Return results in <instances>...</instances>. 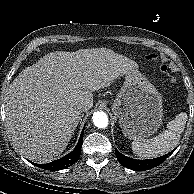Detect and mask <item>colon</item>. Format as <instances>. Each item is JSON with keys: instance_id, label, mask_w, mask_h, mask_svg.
Listing matches in <instances>:
<instances>
[{"instance_id": "5ec220e1", "label": "colon", "mask_w": 194, "mask_h": 194, "mask_svg": "<svg viewBox=\"0 0 194 194\" xmlns=\"http://www.w3.org/2000/svg\"><path fill=\"white\" fill-rule=\"evenodd\" d=\"M146 61L158 64L159 72L169 81L173 82L174 79L170 76L168 67L159 62V56L156 53H148L145 56Z\"/></svg>"}]
</instances>
